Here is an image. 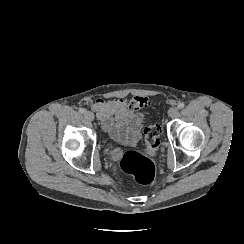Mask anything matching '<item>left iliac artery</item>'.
<instances>
[{
  "mask_svg": "<svg viewBox=\"0 0 244 244\" xmlns=\"http://www.w3.org/2000/svg\"><path fill=\"white\" fill-rule=\"evenodd\" d=\"M184 103L183 102H180V103H178V105H177V107L179 108V109H182V108H184Z\"/></svg>",
  "mask_w": 244,
  "mask_h": 244,
  "instance_id": "obj_1",
  "label": "left iliac artery"
}]
</instances>
